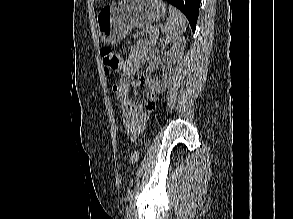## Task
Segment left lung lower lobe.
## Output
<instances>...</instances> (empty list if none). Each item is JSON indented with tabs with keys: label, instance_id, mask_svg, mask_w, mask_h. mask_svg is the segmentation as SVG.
Returning <instances> with one entry per match:
<instances>
[{
	"label": "left lung lower lobe",
	"instance_id": "1",
	"mask_svg": "<svg viewBox=\"0 0 293 219\" xmlns=\"http://www.w3.org/2000/svg\"><path fill=\"white\" fill-rule=\"evenodd\" d=\"M180 9L187 17L191 28L195 31L201 0H167Z\"/></svg>",
	"mask_w": 293,
	"mask_h": 219
}]
</instances>
